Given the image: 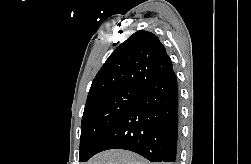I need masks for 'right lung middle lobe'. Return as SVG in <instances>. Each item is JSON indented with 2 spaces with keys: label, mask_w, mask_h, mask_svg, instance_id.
<instances>
[{
  "label": "right lung middle lobe",
  "mask_w": 251,
  "mask_h": 164,
  "mask_svg": "<svg viewBox=\"0 0 251 164\" xmlns=\"http://www.w3.org/2000/svg\"><path fill=\"white\" fill-rule=\"evenodd\" d=\"M139 88L124 87L86 102L80 137L79 162H86L97 142L136 101Z\"/></svg>",
  "instance_id": "right-lung-middle-lobe-1"
}]
</instances>
